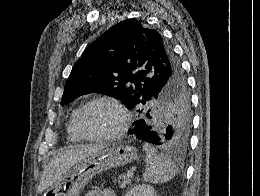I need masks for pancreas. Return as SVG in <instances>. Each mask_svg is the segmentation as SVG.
<instances>
[{"instance_id":"pancreas-1","label":"pancreas","mask_w":260,"mask_h":196,"mask_svg":"<svg viewBox=\"0 0 260 196\" xmlns=\"http://www.w3.org/2000/svg\"><path fill=\"white\" fill-rule=\"evenodd\" d=\"M114 182H118L119 188H126V184H129L131 180L130 178H127L126 174H122V176H118L117 180H114Z\"/></svg>"}]
</instances>
